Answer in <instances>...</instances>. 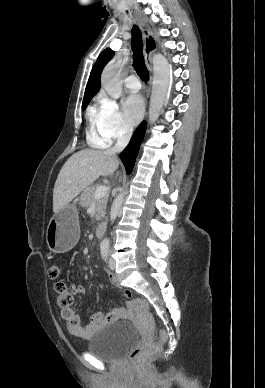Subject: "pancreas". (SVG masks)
<instances>
[{
	"mask_svg": "<svg viewBox=\"0 0 265 388\" xmlns=\"http://www.w3.org/2000/svg\"><path fill=\"white\" fill-rule=\"evenodd\" d=\"M100 184H94V186H89V188H85L83 190L81 196H80V206H83V208H89L91 206L92 202H94V194L96 188H99ZM108 202V196H104V198H100V200H97L96 204V220H101V218H104L106 212V206Z\"/></svg>",
	"mask_w": 265,
	"mask_h": 388,
	"instance_id": "1",
	"label": "pancreas"
}]
</instances>
